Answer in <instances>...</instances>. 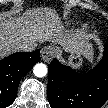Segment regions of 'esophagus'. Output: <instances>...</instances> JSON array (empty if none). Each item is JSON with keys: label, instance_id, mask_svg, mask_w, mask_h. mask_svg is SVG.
Here are the masks:
<instances>
[{"label": "esophagus", "instance_id": "34e87169", "mask_svg": "<svg viewBox=\"0 0 108 108\" xmlns=\"http://www.w3.org/2000/svg\"><path fill=\"white\" fill-rule=\"evenodd\" d=\"M55 49L51 46H45L41 50V58L44 62H49L55 56Z\"/></svg>", "mask_w": 108, "mask_h": 108}]
</instances>
